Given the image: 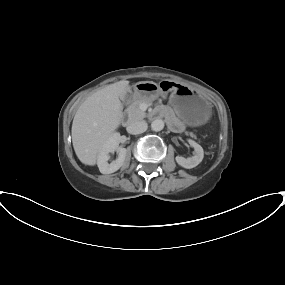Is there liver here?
I'll return each mask as SVG.
<instances>
[{
  "label": "liver",
  "mask_w": 285,
  "mask_h": 285,
  "mask_svg": "<svg viewBox=\"0 0 285 285\" xmlns=\"http://www.w3.org/2000/svg\"><path fill=\"white\" fill-rule=\"evenodd\" d=\"M129 81L107 85L89 96L78 108L72 123V143L78 159L85 165L96 164L101 148L119 127Z\"/></svg>",
  "instance_id": "liver-1"
}]
</instances>
